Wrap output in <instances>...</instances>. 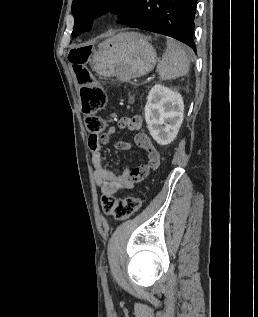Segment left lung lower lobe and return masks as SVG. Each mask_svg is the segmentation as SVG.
Segmentation results:
<instances>
[{
  "mask_svg": "<svg viewBox=\"0 0 258 317\" xmlns=\"http://www.w3.org/2000/svg\"><path fill=\"white\" fill-rule=\"evenodd\" d=\"M196 7L197 0H140L127 25L172 37L196 52L193 41Z\"/></svg>",
  "mask_w": 258,
  "mask_h": 317,
  "instance_id": "left-lung-lower-lobe-1",
  "label": "left lung lower lobe"
}]
</instances>
